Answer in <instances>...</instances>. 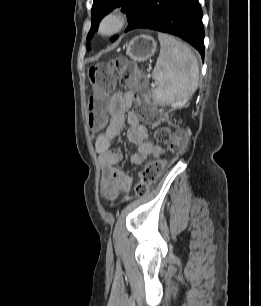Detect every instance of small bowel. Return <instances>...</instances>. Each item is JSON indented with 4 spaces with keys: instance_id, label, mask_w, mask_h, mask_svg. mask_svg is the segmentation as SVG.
Wrapping results in <instances>:
<instances>
[{
    "instance_id": "obj_1",
    "label": "small bowel",
    "mask_w": 261,
    "mask_h": 306,
    "mask_svg": "<svg viewBox=\"0 0 261 306\" xmlns=\"http://www.w3.org/2000/svg\"><path fill=\"white\" fill-rule=\"evenodd\" d=\"M132 104L129 93L116 92L112 95L108 106L110 122L96 141V150L103 167L102 191L108 199H114L119 192L129 191L135 181L132 175L117 167L124 160V154L113 146V140L121 132L125 121L128 123L127 139L136 147V152L130 157L131 164H141L150 156L163 153L162 147L148 141L149 129L140 123L135 112L130 111Z\"/></svg>"
}]
</instances>
